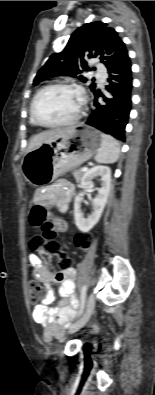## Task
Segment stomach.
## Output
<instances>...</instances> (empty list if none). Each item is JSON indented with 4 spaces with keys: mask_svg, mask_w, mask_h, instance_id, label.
Wrapping results in <instances>:
<instances>
[{
    "mask_svg": "<svg viewBox=\"0 0 155 395\" xmlns=\"http://www.w3.org/2000/svg\"><path fill=\"white\" fill-rule=\"evenodd\" d=\"M101 142L102 134L84 124L61 130L50 142L26 153L22 160L24 178L34 186L46 185L89 160Z\"/></svg>",
    "mask_w": 155,
    "mask_h": 395,
    "instance_id": "0dacf381",
    "label": "stomach"
}]
</instances>
